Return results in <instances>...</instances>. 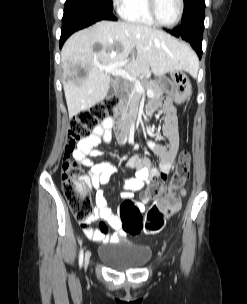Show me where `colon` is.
I'll return each instance as SVG.
<instances>
[{
  "instance_id": "obj_1",
  "label": "colon",
  "mask_w": 247,
  "mask_h": 304,
  "mask_svg": "<svg viewBox=\"0 0 247 304\" xmlns=\"http://www.w3.org/2000/svg\"><path fill=\"white\" fill-rule=\"evenodd\" d=\"M119 98L112 94L90 109L83 110L70 121V129L66 144V157L62 164V186L67 202L75 218L86 222L92 214V203L88 194V183L76 162L69 159L79 141L89 136L91 130L102 120L109 118L116 110ZM190 175V155L182 151L177 160L173 175L167 185L158 183L152 190L153 195L162 194L166 188L180 189ZM180 207V197L174 192H167L161 203H155L142 220L139 208L130 199L124 200L120 206V218L123 229L136 235L141 231L147 234L160 232L167 220Z\"/></svg>"
}]
</instances>
